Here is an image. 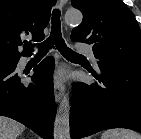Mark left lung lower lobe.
<instances>
[{"instance_id": "left-lung-lower-lobe-1", "label": "left lung lower lobe", "mask_w": 141, "mask_h": 139, "mask_svg": "<svg viewBox=\"0 0 141 139\" xmlns=\"http://www.w3.org/2000/svg\"><path fill=\"white\" fill-rule=\"evenodd\" d=\"M99 81L74 84L70 113L72 139L109 128H128L141 133V67L98 64Z\"/></svg>"}]
</instances>
